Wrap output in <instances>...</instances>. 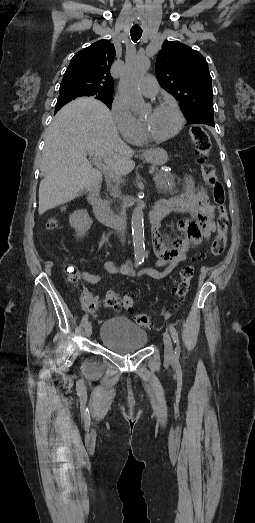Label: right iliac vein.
Instances as JSON below:
<instances>
[{"label":"right iliac vein","mask_w":255,"mask_h":523,"mask_svg":"<svg viewBox=\"0 0 255 523\" xmlns=\"http://www.w3.org/2000/svg\"><path fill=\"white\" fill-rule=\"evenodd\" d=\"M85 334L87 337H90L92 334V325L90 322H87L85 325Z\"/></svg>","instance_id":"right-iliac-vein-1"}]
</instances>
